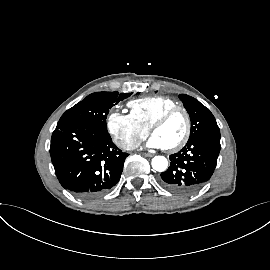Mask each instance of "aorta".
Here are the masks:
<instances>
[{
    "mask_svg": "<svg viewBox=\"0 0 270 270\" xmlns=\"http://www.w3.org/2000/svg\"><path fill=\"white\" fill-rule=\"evenodd\" d=\"M151 164H152V168L158 172H163L168 167V161L164 156H155L152 159Z\"/></svg>",
    "mask_w": 270,
    "mask_h": 270,
    "instance_id": "aorta-1",
    "label": "aorta"
}]
</instances>
